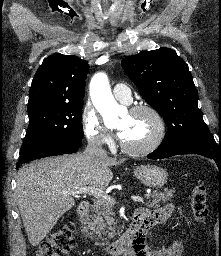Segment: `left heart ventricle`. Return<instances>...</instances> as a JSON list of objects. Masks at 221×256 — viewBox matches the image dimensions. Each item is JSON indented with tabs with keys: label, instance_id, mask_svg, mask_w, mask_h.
I'll return each mask as SVG.
<instances>
[{
	"label": "left heart ventricle",
	"instance_id": "left-heart-ventricle-1",
	"mask_svg": "<svg viewBox=\"0 0 221 256\" xmlns=\"http://www.w3.org/2000/svg\"><path fill=\"white\" fill-rule=\"evenodd\" d=\"M118 129L125 131L123 141L130 146H142L152 140L156 133L153 118L145 112L125 114L118 124Z\"/></svg>",
	"mask_w": 221,
	"mask_h": 256
}]
</instances>
